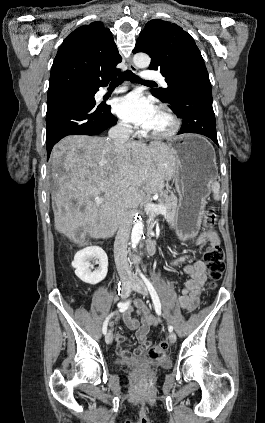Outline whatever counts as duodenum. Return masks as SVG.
Instances as JSON below:
<instances>
[{
  "label": "duodenum",
  "mask_w": 265,
  "mask_h": 423,
  "mask_svg": "<svg viewBox=\"0 0 265 423\" xmlns=\"http://www.w3.org/2000/svg\"><path fill=\"white\" fill-rule=\"evenodd\" d=\"M156 251V244L155 241L150 238L146 242V253L148 256L153 255Z\"/></svg>",
  "instance_id": "410a0bca"
}]
</instances>
